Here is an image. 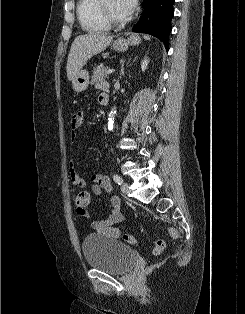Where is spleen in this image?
<instances>
[{"instance_id":"spleen-1","label":"spleen","mask_w":245,"mask_h":314,"mask_svg":"<svg viewBox=\"0 0 245 314\" xmlns=\"http://www.w3.org/2000/svg\"><path fill=\"white\" fill-rule=\"evenodd\" d=\"M144 38L147 40H150V36L149 35H144Z\"/></svg>"}]
</instances>
